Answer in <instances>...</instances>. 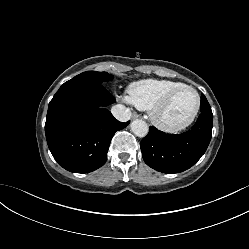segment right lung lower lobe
<instances>
[{
	"instance_id": "98d812e1",
	"label": "right lung lower lobe",
	"mask_w": 249,
	"mask_h": 249,
	"mask_svg": "<svg viewBox=\"0 0 249 249\" xmlns=\"http://www.w3.org/2000/svg\"><path fill=\"white\" fill-rule=\"evenodd\" d=\"M115 102L102 84L88 79L64 83L49 103L45 133L54 159L66 170L92 172L107 160L111 139L129 122H119L106 106Z\"/></svg>"
}]
</instances>
